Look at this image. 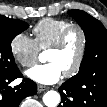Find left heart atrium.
Returning a JSON list of instances; mask_svg holds the SVG:
<instances>
[{
    "instance_id": "1",
    "label": "left heart atrium",
    "mask_w": 107,
    "mask_h": 107,
    "mask_svg": "<svg viewBox=\"0 0 107 107\" xmlns=\"http://www.w3.org/2000/svg\"><path fill=\"white\" fill-rule=\"evenodd\" d=\"M63 73L64 71L58 63L50 61L32 67L26 72V75L37 83L50 85L57 83L62 78Z\"/></svg>"
}]
</instances>
